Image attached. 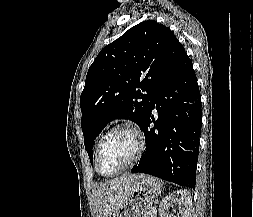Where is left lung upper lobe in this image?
<instances>
[{
	"instance_id": "5c2ea615",
	"label": "left lung upper lobe",
	"mask_w": 253,
	"mask_h": 217,
	"mask_svg": "<svg viewBox=\"0 0 253 217\" xmlns=\"http://www.w3.org/2000/svg\"><path fill=\"white\" fill-rule=\"evenodd\" d=\"M185 54L174 33L154 20L135 25L101 50L80 98L84 145L91 162L93 142L108 122L129 119L140 126L155 92Z\"/></svg>"
}]
</instances>
